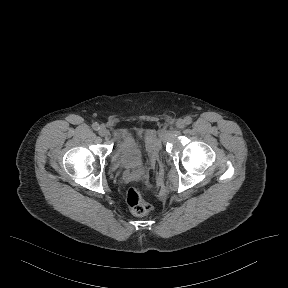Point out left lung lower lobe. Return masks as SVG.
Returning <instances> with one entry per match:
<instances>
[{
  "label": "left lung lower lobe",
  "mask_w": 288,
  "mask_h": 288,
  "mask_svg": "<svg viewBox=\"0 0 288 288\" xmlns=\"http://www.w3.org/2000/svg\"><path fill=\"white\" fill-rule=\"evenodd\" d=\"M259 208H260V206L256 209V211H257ZM256 211H255V213H256Z\"/></svg>",
  "instance_id": "obj_1"
}]
</instances>
